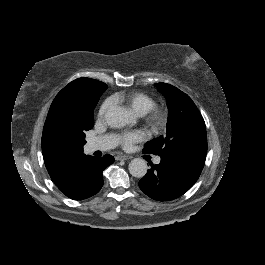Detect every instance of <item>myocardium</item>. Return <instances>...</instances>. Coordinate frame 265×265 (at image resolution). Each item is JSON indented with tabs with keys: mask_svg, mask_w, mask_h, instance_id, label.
<instances>
[{
	"mask_svg": "<svg viewBox=\"0 0 265 265\" xmlns=\"http://www.w3.org/2000/svg\"><path fill=\"white\" fill-rule=\"evenodd\" d=\"M165 122V116L160 111H154L149 119L148 124L154 130H160L163 128Z\"/></svg>",
	"mask_w": 265,
	"mask_h": 265,
	"instance_id": "f54148a6",
	"label": "myocardium"
}]
</instances>
